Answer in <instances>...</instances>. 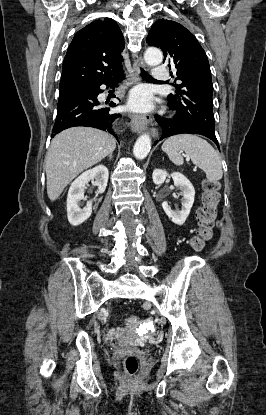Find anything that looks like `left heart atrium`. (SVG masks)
Here are the masks:
<instances>
[{
    "instance_id": "left-heart-atrium-1",
    "label": "left heart atrium",
    "mask_w": 266,
    "mask_h": 415,
    "mask_svg": "<svg viewBox=\"0 0 266 415\" xmlns=\"http://www.w3.org/2000/svg\"><path fill=\"white\" fill-rule=\"evenodd\" d=\"M130 107L136 111H148L152 108L151 96L146 88L135 89L130 96Z\"/></svg>"
}]
</instances>
